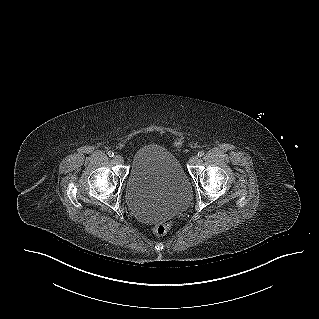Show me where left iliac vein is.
Returning a JSON list of instances; mask_svg holds the SVG:
<instances>
[{
    "label": "left iliac vein",
    "mask_w": 319,
    "mask_h": 319,
    "mask_svg": "<svg viewBox=\"0 0 319 319\" xmlns=\"http://www.w3.org/2000/svg\"><path fill=\"white\" fill-rule=\"evenodd\" d=\"M198 161H199L198 156H192V157L189 159L188 162H189L190 165H194V164L198 163Z\"/></svg>",
    "instance_id": "4c4485c4"
}]
</instances>
